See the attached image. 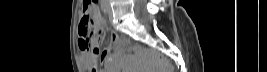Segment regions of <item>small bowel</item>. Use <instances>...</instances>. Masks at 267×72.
<instances>
[{
    "instance_id": "1",
    "label": "small bowel",
    "mask_w": 267,
    "mask_h": 72,
    "mask_svg": "<svg viewBox=\"0 0 267 72\" xmlns=\"http://www.w3.org/2000/svg\"><path fill=\"white\" fill-rule=\"evenodd\" d=\"M98 12V9H96ZM111 42L112 44H117L118 43V37L113 35L111 37ZM81 60L83 65L91 72H98L97 67H96V62L99 60L102 65H104V69L100 70L99 72H109L107 65L111 61V56H110V47L104 48L102 51L97 49L94 52L90 53H84L81 56Z\"/></svg>"
}]
</instances>
